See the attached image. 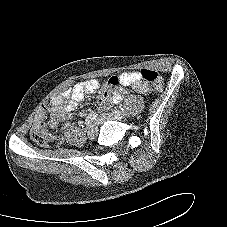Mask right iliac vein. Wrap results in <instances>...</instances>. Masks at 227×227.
<instances>
[{
  "mask_svg": "<svg viewBox=\"0 0 227 227\" xmlns=\"http://www.w3.org/2000/svg\"><path fill=\"white\" fill-rule=\"evenodd\" d=\"M97 127L95 124H92L91 126L87 127V135L90 140H93L97 136Z\"/></svg>",
  "mask_w": 227,
  "mask_h": 227,
  "instance_id": "63e3f726",
  "label": "right iliac vein"
}]
</instances>
